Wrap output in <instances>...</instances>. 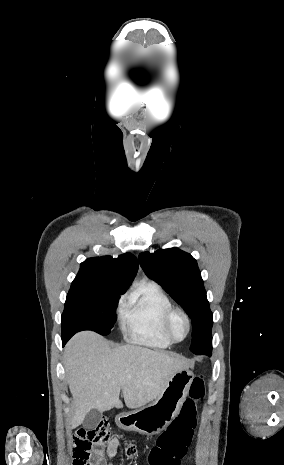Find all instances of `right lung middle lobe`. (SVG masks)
I'll return each instance as SVG.
<instances>
[{"label": "right lung middle lobe", "instance_id": "1", "mask_svg": "<svg viewBox=\"0 0 284 465\" xmlns=\"http://www.w3.org/2000/svg\"><path fill=\"white\" fill-rule=\"evenodd\" d=\"M121 294L96 284L72 282L61 317L62 337L82 330L109 334L116 322Z\"/></svg>", "mask_w": 284, "mask_h": 465}]
</instances>
